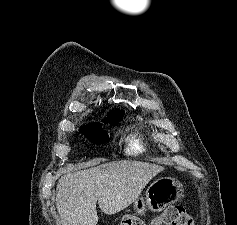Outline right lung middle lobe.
Returning a JSON list of instances; mask_svg holds the SVG:
<instances>
[{
  "label": "right lung middle lobe",
  "mask_w": 237,
  "mask_h": 225,
  "mask_svg": "<svg viewBox=\"0 0 237 225\" xmlns=\"http://www.w3.org/2000/svg\"><path fill=\"white\" fill-rule=\"evenodd\" d=\"M123 116H115L112 114H108V118L105 119L106 123H110V125H116ZM81 132L89 138L90 141L96 142L98 144L105 143L108 141V134L102 130V125L99 123H94L91 125L81 127Z\"/></svg>",
  "instance_id": "obj_1"
}]
</instances>
